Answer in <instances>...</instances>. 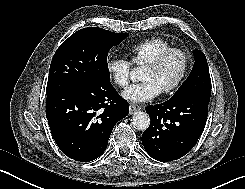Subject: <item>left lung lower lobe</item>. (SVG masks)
Instances as JSON below:
<instances>
[{
	"label": "left lung lower lobe",
	"mask_w": 245,
	"mask_h": 189,
	"mask_svg": "<svg viewBox=\"0 0 245 189\" xmlns=\"http://www.w3.org/2000/svg\"><path fill=\"white\" fill-rule=\"evenodd\" d=\"M209 100L186 95L148 106L151 123L142 135L146 152L159 161H172L187 154L204 130Z\"/></svg>",
	"instance_id": "obj_1"
}]
</instances>
